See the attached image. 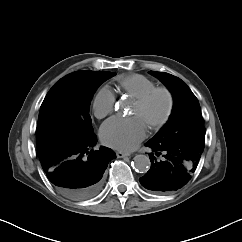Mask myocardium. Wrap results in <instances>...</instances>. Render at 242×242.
I'll use <instances>...</instances> for the list:
<instances>
[{
  "instance_id": "obj_1",
  "label": "myocardium",
  "mask_w": 242,
  "mask_h": 242,
  "mask_svg": "<svg viewBox=\"0 0 242 242\" xmlns=\"http://www.w3.org/2000/svg\"><path fill=\"white\" fill-rule=\"evenodd\" d=\"M162 93L166 96L168 101V106L165 115L155 123L151 124L149 126L150 131H157L165 127L169 121L171 120L174 110H175V98L170 89L167 87L159 86L154 87L153 89L149 90L148 92L144 93L140 97L135 99V102L139 105L146 104L153 96L156 94Z\"/></svg>"
}]
</instances>
